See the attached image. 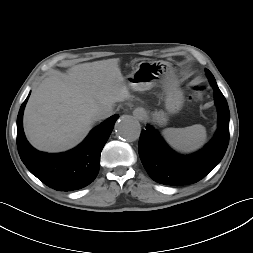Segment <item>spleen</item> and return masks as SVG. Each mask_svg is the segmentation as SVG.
I'll list each match as a JSON object with an SVG mask.
<instances>
[{
    "mask_svg": "<svg viewBox=\"0 0 253 253\" xmlns=\"http://www.w3.org/2000/svg\"><path fill=\"white\" fill-rule=\"evenodd\" d=\"M162 133L173 148L183 152H191L200 148L207 138L206 129L200 124L185 128H167Z\"/></svg>",
    "mask_w": 253,
    "mask_h": 253,
    "instance_id": "3e777b00",
    "label": "spleen"
}]
</instances>
